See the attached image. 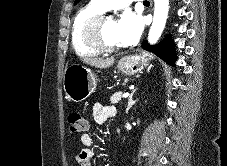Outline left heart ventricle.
<instances>
[{
    "label": "left heart ventricle",
    "instance_id": "b2bd125f",
    "mask_svg": "<svg viewBox=\"0 0 227 166\" xmlns=\"http://www.w3.org/2000/svg\"><path fill=\"white\" fill-rule=\"evenodd\" d=\"M101 39L108 46H119L121 42L117 33V21L111 17L105 20L101 28Z\"/></svg>",
    "mask_w": 227,
    "mask_h": 166
}]
</instances>
